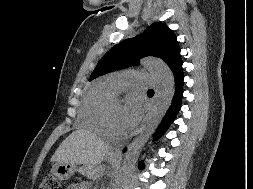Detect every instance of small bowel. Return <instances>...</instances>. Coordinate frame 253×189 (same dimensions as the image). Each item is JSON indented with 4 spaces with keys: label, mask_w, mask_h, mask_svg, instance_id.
Returning <instances> with one entry per match:
<instances>
[{
    "label": "small bowel",
    "mask_w": 253,
    "mask_h": 189,
    "mask_svg": "<svg viewBox=\"0 0 253 189\" xmlns=\"http://www.w3.org/2000/svg\"><path fill=\"white\" fill-rule=\"evenodd\" d=\"M70 189H88V185L86 183L75 184L72 185Z\"/></svg>",
    "instance_id": "small-bowel-1"
}]
</instances>
